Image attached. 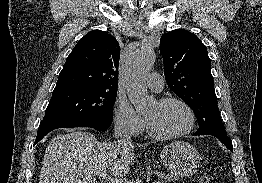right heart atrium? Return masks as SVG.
Returning a JSON list of instances; mask_svg holds the SVG:
<instances>
[{"instance_id":"obj_1","label":"right heart atrium","mask_w":262,"mask_h":183,"mask_svg":"<svg viewBox=\"0 0 262 183\" xmlns=\"http://www.w3.org/2000/svg\"><path fill=\"white\" fill-rule=\"evenodd\" d=\"M113 120L115 128L126 135L136 136L144 129L143 119L124 99L116 101Z\"/></svg>"}]
</instances>
